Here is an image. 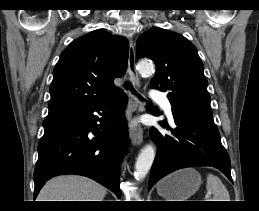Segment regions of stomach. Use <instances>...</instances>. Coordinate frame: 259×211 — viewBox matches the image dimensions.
Returning <instances> with one entry per match:
<instances>
[{
    "instance_id": "1",
    "label": "stomach",
    "mask_w": 259,
    "mask_h": 211,
    "mask_svg": "<svg viewBox=\"0 0 259 211\" xmlns=\"http://www.w3.org/2000/svg\"><path fill=\"white\" fill-rule=\"evenodd\" d=\"M200 185V174L193 168H186L161 180L157 191L167 201H185L199 189Z\"/></svg>"
}]
</instances>
